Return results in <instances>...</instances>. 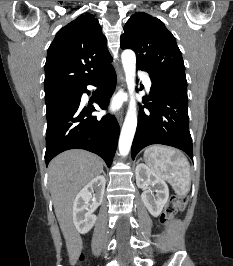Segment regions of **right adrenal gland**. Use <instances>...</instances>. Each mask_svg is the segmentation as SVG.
<instances>
[{
	"label": "right adrenal gland",
	"mask_w": 233,
	"mask_h": 266,
	"mask_svg": "<svg viewBox=\"0 0 233 266\" xmlns=\"http://www.w3.org/2000/svg\"><path fill=\"white\" fill-rule=\"evenodd\" d=\"M102 173H103V175L105 176L106 174H105V172L102 170Z\"/></svg>",
	"instance_id": "1"
}]
</instances>
